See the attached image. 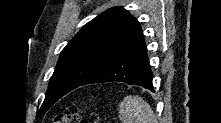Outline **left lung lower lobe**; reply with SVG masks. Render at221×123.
Wrapping results in <instances>:
<instances>
[{"instance_id":"left-lung-lower-lobe-1","label":"left lung lower lobe","mask_w":221,"mask_h":123,"mask_svg":"<svg viewBox=\"0 0 221 123\" xmlns=\"http://www.w3.org/2000/svg\"><path fill=\"white\" fill-rule=\"evenodd\" d=\"M152 78L146 45L144 39H142L139 43L98 69L80 86L99 82L120 81L129 85L143 86L154 92Z\"/></svg>"}]
</instances>
